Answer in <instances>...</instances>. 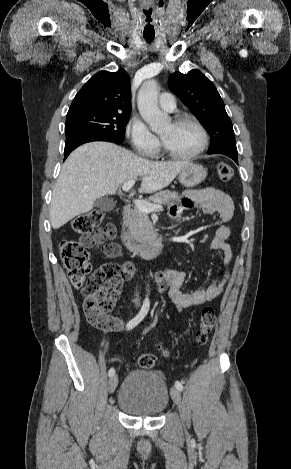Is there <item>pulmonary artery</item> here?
I'll return each instance as SVG.
<instances>
[{
	"label": "pulmonary artery",
	"instance_id": "e3ab8cb5",
	"mask_svg": "<svg viewBox=\"0 0 291 469\" xmlns=\"http://www.w3.org/2000/svg\"><path fill=\"white\" fill-rule=\"evenodd\" d=\"M159 106L166 111H173L176 107L175 98L170 93H163L159 98Z\"/></svg>",
	"mask_w": 291,
	"mask_h": 469
}]
</instances>
